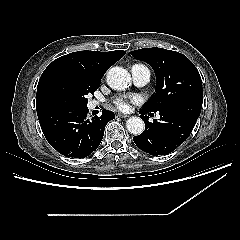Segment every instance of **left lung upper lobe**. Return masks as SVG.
Returning <instances> with one entry per match:
<instances>
[{
  "instance_id": "left-lung-upper-lobe-1",
  "label": "left lung upper lobe",
  "mask_w": 240,
  "mask_h": 240,
  "mask_svg": "<svg viewBox=\"0 0 240 240\" xmlns=\"http://www.w3.org/2000/svg\"><path fill=\"white\" fill-rule=\"evenodd\" d=\"M129 54L150 64L156 74V93L145 110L156 112L185 99L203 97L199 72L185 55L162 48H143Z\"/></svg>"
}]
</instances>
